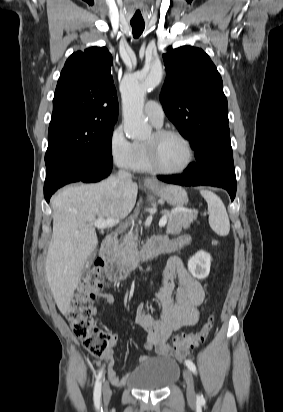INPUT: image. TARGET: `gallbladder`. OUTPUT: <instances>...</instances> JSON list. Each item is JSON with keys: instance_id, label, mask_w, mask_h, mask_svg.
<instances>
[{"instance_id": "gallbladder-1", "label": "gallbladder", "mask_w": 283, "mask_h": 412, "mask_svg": "<svg viewBox=\"0 0 283 412\" xmlns=\"http://www.w3.org/2000/svg\"><path fill=\"white\" fill-rule=\"evenodd\" d=\"M93 257H94V255H91V256L87 259L86 264H85V270L90 266V264H91V262H92V260H93Z\"/></svg>"}]
</instances>
